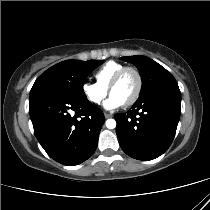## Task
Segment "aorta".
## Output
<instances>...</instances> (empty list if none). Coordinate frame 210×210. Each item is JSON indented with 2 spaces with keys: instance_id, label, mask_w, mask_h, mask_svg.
I'll return each instance as SVG.
<instances>
[{
  "instance_id": "aorta-1",
  "label": "aorta",
  "mask_w": 210,
  "mask_h": 210,
  "mask_svg": "<svg viewBox=\"0 0 210 210\" xmlns=\"http://www.w3.org/2000/svg\"><path fill=\"white\" fill-rule=\"evenodd\" d=\"M106 127L108 129H114L116 127V121L114 119H108L106 121Z\"/></svg>"
}]
</instances>
